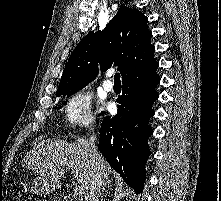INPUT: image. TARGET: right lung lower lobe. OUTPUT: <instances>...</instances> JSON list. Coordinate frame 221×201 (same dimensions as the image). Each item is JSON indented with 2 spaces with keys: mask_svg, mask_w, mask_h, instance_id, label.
<instances>
[{
  "mask_svg": "<svg viewBox=\"0 0 221 201\" xmlns=\"http://www.w3.org/2000/svg\"><path fill=\"white\" fill-rule=\"evenodd\" d=\"M158 66L156 62L122 80V94L116 100L118 113L104 117L100 129L99 151L137 194L143 190L145 163L151 153L147 140L153 130L148 120L154 115L151 104L159 97L155 91L160 83Z\"/></svg>",
  "mask_w": 221,
  "mask_h": 201,
  "instance_id": "obj_1",
  "label": "right lung lower lobe"
}]
</instances>
